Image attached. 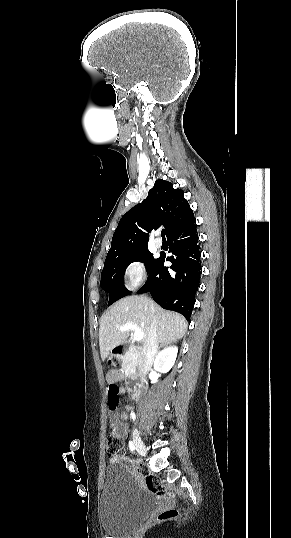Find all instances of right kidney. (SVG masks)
<instances>
[{"mask_svg": "<svg viewBox=\"0 0 291 538\" xmlns=\"http://www.w3.org/2000/svg\"><path fill=\"white\" fill-rule=\"evenodd\" d=\"M178 353L177 346H169L162 350L154 361V369L161 373L168 372L175 363Z\"/></svg>", "mask_w": 291, "mask_h": 538, "instance_id": "ca27d5eb", "label": "right kidney"}]
</instances>
